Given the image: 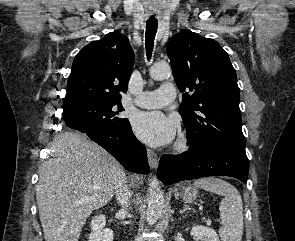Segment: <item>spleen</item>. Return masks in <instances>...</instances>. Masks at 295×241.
<instances>
[{"label": "spleen", "mask_w": 295, "mask_h": 241, "mask_svg": "<svg viewBox=\"0 0 295 241\" xmlns=\"http://www.w3.org/2000/svg\"><path fill=\"white\" fill-rule=\"evenodd\" d=\"M194 186L224 196L219 206L222 223L219 236L221 241H241L243 205L238 190L227 181L214 177L196 180Z\"/></svg>", "instance_id": "obj_1"}]
</instances>
